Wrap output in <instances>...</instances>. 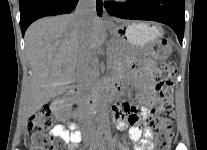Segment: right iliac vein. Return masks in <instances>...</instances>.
I'll return each instance as SVG.
<instances>
[{
	"label": "right iliac vein",
	"instance_id": "63e3f726",
	"mask_svg": "<svg viewBox=\"0 0 207 150\" xmlns=\"http://www.w3.org/2000/svg\"><path fill=\"white\" fill-rule=\"evenodd\" d=\"M92 148H93V147H90V150H93Z\"/></svg>",
	"mask_w": 207,
	"mask_h": 150
}]
</instances>
